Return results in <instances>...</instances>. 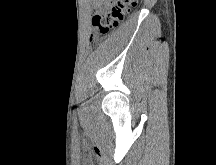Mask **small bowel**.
<instances>
[{"mask_svg": "<svg viewBox=\"0 0 216 165\" xmlns=\"http://www.w3.org/2000/svg\"><path fill=\"white\" fill-rule=\"evenodd\" d=\"M95 7L98 9L103 8L106 4H108V0H93Z\"/></svg>", "mask_w": 216, "mask_h": 165, "instance_id": "obj_1", "label": "small bowel"}]
</instances>
